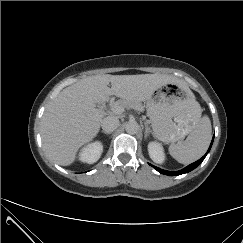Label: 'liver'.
<instances>
[{"mask_svg": "<svg viewBox=\"0 0 243 243\" xmlns=\"http://www.w3.org/2000/svg\"><path fill=\"white\" fill-rule=\"evenodd\" d=\"M111 83V88L108 87ZM166 84L185 87L176 77L163 74L95 75L63 89L47 106L41 121L45 152L59 165L72 164L78 150L94 139L105 113L96 103L115 95L140 103Z\"/></svg>", "mask_w": 243, "mask_h": 243, "instance_id": "6515ba94", "label": "liver"}]
</instances>
